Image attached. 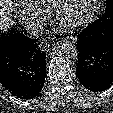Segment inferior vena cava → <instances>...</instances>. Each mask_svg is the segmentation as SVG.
Segmentation results:
<instances>
[{"mask_svg":"<svg viewBox=\"0 0 113 113\" xmlns=\"http://www.w3.org/2000/svg\"><path fill=\"white\" fill-rule=\"evenodd\" d=\"M42 30H43V26L40 22H35L28 25V32L32 36L39 35L40 33H42Z\"/></svg>","mask_w":113,"mask_h":113,"instance_id":"inferior-vena-cava-1","label":"inferior vena cava"}]
</instances>
